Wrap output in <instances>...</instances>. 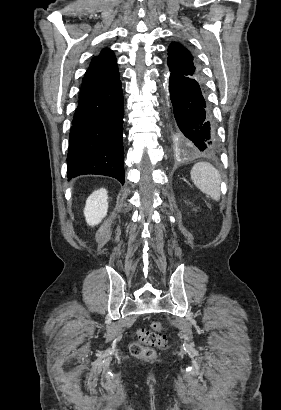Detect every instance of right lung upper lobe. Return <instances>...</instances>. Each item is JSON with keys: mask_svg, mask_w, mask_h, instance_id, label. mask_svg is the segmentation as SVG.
Returning a JSON list of instances; mask_svg holds the SVG:
<instances>
[{"mask_svg": "<svg viewBox=\"0 0 281 410\" xmlns=\"http://www.w3.org/2000/svg\"><path fill=\"white\" fill-rule=\"evenodd\" d=\"M119 80L116 57L112 50H102L92 59L84 75L80 96L103 90Z\"/></svg>", "mask_w": 281, "mask_h": 410, "instance_id": "obj_1", "label": "right lung upper lobe"}]
</instances>
